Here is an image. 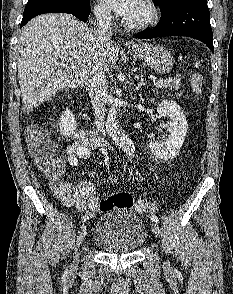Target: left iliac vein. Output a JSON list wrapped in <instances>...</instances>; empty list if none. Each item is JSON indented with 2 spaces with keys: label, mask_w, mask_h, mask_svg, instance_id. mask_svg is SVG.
<instances>
[{
  "label": "left iliac vein",
  "mask_w": 233,
  "mask_h": 294,
  "mask_svg": "<svg viewBox=\"0 0 233 294\" xmlns=\"http://www.w3.org/2000/svg\"><path fill=\"white\" fill-rule=\"evenodd\" d=\"M151 229L156 237H160V228L155 222L152 223Z\"/></svg>",
  "instance_id": "obj_1"
}]
</instances>
